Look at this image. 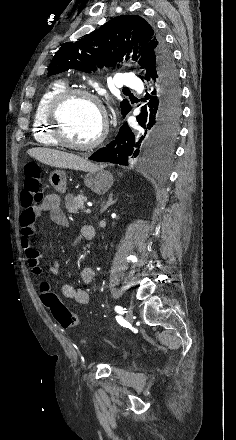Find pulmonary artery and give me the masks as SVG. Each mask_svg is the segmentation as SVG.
Segmentation results:
<instances>
[{
  "label": "pulmonary artery",
  "mask_w": 236,
  "mask_h": 440,
  "mask_svg": "<svg viewBox=\"0 0 236 440\" xmlns=\"http://www.w3.org/2000/svg\"><path fill=\"white\" fill-rule=\"evenodd\" d=\"M116 86L131 89H139L140 84L135 75L131 73H123L116 76Z\"/></svg>",
  "instance_id": "obj_1"
}]
</instances>
